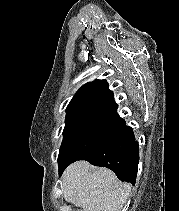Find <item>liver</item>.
Here are the masks:
<instances>
[{"label": "liver", "instance_id": "obj_1", "mask_svg": "<svg viewBox=\"0 0 179 211\" xmlns=\"http://www.w3.org/2000/svg\"><path fill=\"white\" fill-rule=\"evenodd\" d=\"M64 198L83 211H121L131 191L107 168L77 161L63 173Z\"/></svg>", "mask_w": 179, "mask_h": 211}]
</instances>
